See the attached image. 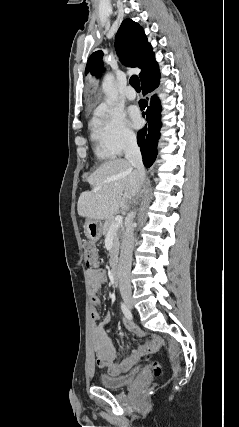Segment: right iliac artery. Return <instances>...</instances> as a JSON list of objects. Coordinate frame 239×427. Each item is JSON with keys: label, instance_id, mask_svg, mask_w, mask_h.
Returning <instances> with one entry per match:
<instances>
[{"label": "right iliac artery", "instance_id": "1", "mask_svg": "<svg viewBox=\"0 0 239 427\" xmlns=\"http://www.w3.org/2000/svg\"><path fill=\"white\" fill-rule=\"evenodd\" d=\"M121 309H122V312L124 313L125 317H126L127 319L131 320V319H132V314H131V312H130V310L128 309V307H127L124 303H122V302H121Z\"/></svg>", "mask_w": 239, "mask_h": 427}]
</instances>
